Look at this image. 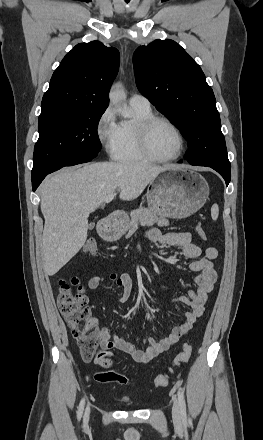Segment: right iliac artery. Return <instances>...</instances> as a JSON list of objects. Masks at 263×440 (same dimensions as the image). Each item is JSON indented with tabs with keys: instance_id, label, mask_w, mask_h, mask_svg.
<instances>
[{
	"instance_id": "1",
	"label": "right iliac artery",
	"mask_w": 263,
	"mask_h": 440,
	"mask_svg": "<svg viewBox=\"0 0 263 440\" xmlns=\"http://www.w3.org/2000/svg\"><path fill=\"white\" fill-rule=\"evenodd\" d=\"M84 404H85V399L83 398L79 404V409H78V419L81 418L82 413H83V409H84Z\"/></svg>"
}]
</instances>
